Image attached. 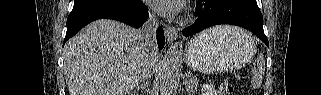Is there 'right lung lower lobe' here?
Segmentation results:
<instances>
[{
  "mask_svg": "<svg viewBox=\"0 0 321 95\" xmlns=\"http://www.w3.org/2000/svg\"><path fill=\"white\" fill-rule=\"evenodd\" d=\"M101 18L118 20L139 28L147 20L148 12L145 4L140 0L129 6L104 5L73 9L67 19V32L64 43L85 25ZM157 40L159 48L162 49L165 45V38L161 27L157 30Z\"/></svg>",
  "mask_w": 321,
  "mask_h": 95,
  "instance_id": "1",
  "label": "right lung lower lobe"
}]
</instances>
